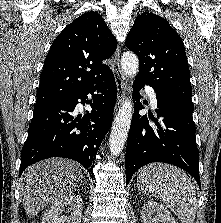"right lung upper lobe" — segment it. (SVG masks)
<instances>
[{
	"label": "right lung upper lobe",
	"mask_w": 221,
	"mask_h": 223,
	"mask_svg": "<svg viewBox=\"0 0 221 223\" xmlns=\"http://www.w3.org/2000/svg\"><path fill=\"white\" fill-rule=\"evenodd\" d=\"M117 41L100 14L86 12L54 40L40 75L35 107L63 99L91 85L109 71L101 63Z\"/></svg>",
	"instance_id": "cb5924a9"
}]
</instances>
